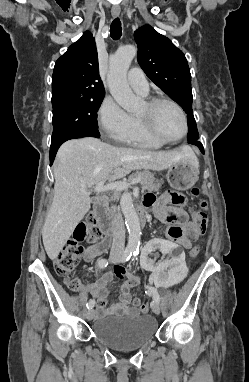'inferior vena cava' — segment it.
<instances>
[{
    "mask_svg": "<svg viewBox=\"0 0 249 382\" xmlns=\"http://www.w3.org/2000/svg\"><path fill=\"white\" fill-rule=\"evenodd\" d=\"M113 243L110 251L111 258H121L125 247V226L119 210L113 207Z\"/></svg>",
    "mask_w": 249,
    "mask_h": 382,
    "instance_id": "1",
    "label": "inferior vena cava"
}]
</instances>
